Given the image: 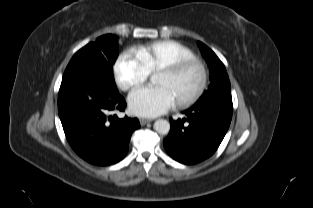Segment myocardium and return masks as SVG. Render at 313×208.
<instances>
[{
  "mask_svg": "<svg viewBox=\"0 0 313 208\" xmlns=\"http://www.w3.org/2000/svg\"><path fill=\"white\" fill-rule=\"evenodd\" d=\"M195 67L199 71V82L196 89L184 98L177 99L176 105L187 107L194 104L203 95L208 84V70L203 61L198 58H187L178 60L170 65H166L158 70V73H164L170 76H177L189 68Z\"/></svg>",
  "mask_w": 313,
  "mask_h": 208,
  "instance_id": "myocardium-1",
  "label": "myocardium"
}]
</instances>
